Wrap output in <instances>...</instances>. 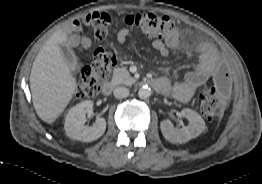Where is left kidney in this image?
Wrapping results in <instances>:
<instances>
[{"label": "left kidney", "mask_w": 262, "mask_h": 184, "mask_svg": "<svg viewBox=\"0 0 262 184\" xmlns=\"http://www.w3.org/2000/svg\"><path fill=\"white\" fill-rule=\"evenodd\" d=\"M181 115L189 121L188 126L175 129L170 120L160 123L163 136L172 143L188 142L190 139L198 137L206 129L205 121L197 112L186 108L181 111Z\"/></svg>", "instance_id": "obj_1"}]
</instances>
